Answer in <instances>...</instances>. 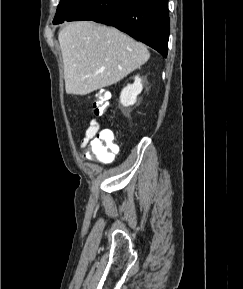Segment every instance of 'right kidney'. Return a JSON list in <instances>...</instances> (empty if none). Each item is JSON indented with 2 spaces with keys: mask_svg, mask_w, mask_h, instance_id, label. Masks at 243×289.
<instances>
[{
  "mask_svg": "<svg viewBox=\"0 0 243 289\" xmlns=\"http://www.w3.org/2000/svg\"><path fill=\"white\" fill-rule=\"evenodd\" d=\"M143 89L142 80L139 76H135V81L133 84H128L120 94V103L127 107L131 106L136 102L137 96L141 93Z\"/></svg>",
  "mask_w": 243,
  "mask_h": 289,
  "instance_id": "1",
  "label": "right kidney"
}]
</instances>
